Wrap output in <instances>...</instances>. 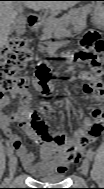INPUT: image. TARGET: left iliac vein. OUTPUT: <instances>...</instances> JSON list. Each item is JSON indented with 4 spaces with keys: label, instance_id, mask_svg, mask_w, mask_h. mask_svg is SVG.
<instances>
[{
    "label": "left iliac vein",
    "instance_id": "obj_1",
    "mask_svg": "<svg viewBox=\"0 0 104 189\" xmlns=\"http://www.w3.org/2000/svg\"><path fill=\"white\" fill-rule=\"evenodd\" d=\"M88 171H89V160L85 158L81 165V172L84 176H87Z\"/></svg>",
    "mask_w": 104,
    "mask_h": 189
}]
</instances>
